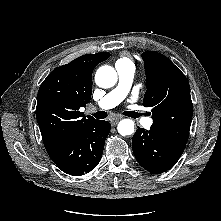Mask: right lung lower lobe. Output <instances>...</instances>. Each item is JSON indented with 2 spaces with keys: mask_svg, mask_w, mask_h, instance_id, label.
Returning <instances> with one entry per match:
<instances>
[{
  "mask_svg": "<svg viewBox=\"0 0 221 221\" xmlns=\"http://www.w3.org/2000/svg\"><path fill=\"white\" fill-rule=\"evenodd\" d=\"M109 132V122L95 120L47 152L63 172L81 176L99 163Z\"/></svg>",
  "mask_w": 221,
  "mask_h": 221,
  "instance_id": "1",
  "label": "right lung lower lobe"
}]
</instances>
